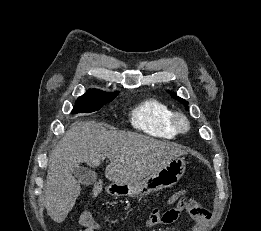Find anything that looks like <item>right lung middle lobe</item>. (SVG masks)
Segmentation results:
<instances>
[{
	"label": "right lung middle lobe",
	"mask_w": 261,
	"mask_h": 231,
	"mask_svg": "<svg viewBox=\"0 0 261 231\" xmlns=\"http://www.w3.org/2000/svg\"><path fill=\"white\" fill-rule=\"evenodd\" d=\"M118 93L81 96L77 99L72 113H90L99 110L104 104L111 102Z\"/></svg>",
	"instance_id": "right-lung-middle-lobe-1"
}]
</instances>
